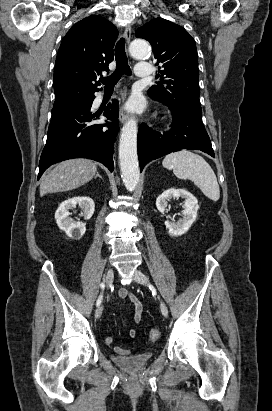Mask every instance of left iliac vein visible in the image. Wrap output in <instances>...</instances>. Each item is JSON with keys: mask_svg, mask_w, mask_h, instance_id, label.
Masks as SVG:
<instances>
[{"mask_svg": "<svg viewBox=\"0 0 272 411\" xmlns=\"http://www.w3.org/2000/svg\"><path fill=\"white\" fill-rule=\"evenodd\" d=\"M133 277L136 280V282H138L140 284H144V285L149 284V280H148L147 276L139 270L134 271ZM160 309H161L162 315L164 317H167L168 316V308H167L166 304L163 301L160 302Z\"/></svg>", "mask_w": 272, "mask_h": 411, "instance_id": "left-iliac-vein-1", "label": "left iliac vein"}]
</instances>
